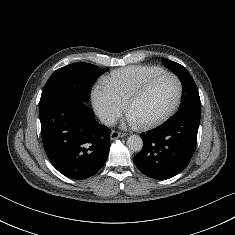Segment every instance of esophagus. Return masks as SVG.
<instances>
[{
    "label": "esophagus",
    "instance_id": "1",
    "mask_svg": "<svg viewBox=\"0 0 235 235\" xmlns=\"http://www.w3.org/2000/svg\"><path fill=\"white\" fill-rule=\"evenodd\" d=\"M125 135H126L125 133H121V132L113 130L110 134V138L111 140H115L117 138L124 137Z\"/></svg>",
    "mask_w": 235,
    "mask_h": 235
}]
</instances>
